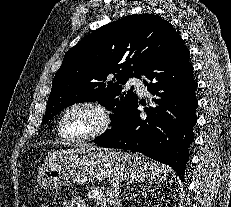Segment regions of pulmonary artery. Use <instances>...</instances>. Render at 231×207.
<instances>
[{
  "instance_id": "e3ab8cb5",
  "label": "pulmonary artery",
  "mask_w": 231,
  "mask_h": 207,
  "mask_svg": "<svg viewBox=\"0 0 231 207\" xmlns=\"http://www.w3.org/2000/svg\"><path fill=\"white\" fill-rule=\"evenodd\" d=\"M128 86L134 87L138 91L144 93L145 92V86L142 82V80L138 77H131L128 81Z\"/></svg>"
}]
</instances>
